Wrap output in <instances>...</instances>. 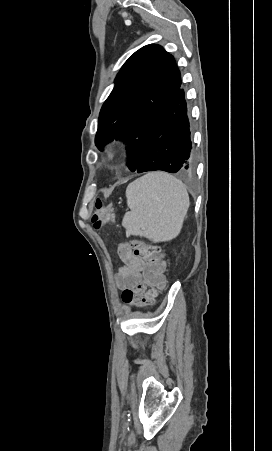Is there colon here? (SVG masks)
Instances as JSON below:
<instances>
[{"label": "colon", "mask_w": 272, "mask_h": 451, "mask_svg": "<svg viewBox=\"0 0 272 451\" xmlns=\"http://www.w3.org/2000/svg\"><path fill=\"white\" fill-rule=\"evenodd\" d=\"M116 214L112 211L111 204H105L101 198L97 200L96 212L92 216V223L95 229H101L104 225V220L115 221ZM132 247L131 258H148L155 257L162 258L163 255L160 248L156 245L147 246L146 243L141 241H135L131 244H124L121 249ZM157 271L155 268L148 274L147 279L139 283L134 288H127L122 292L121 301L128 305L146 306L148 305L153 296L157 292V288L160 286L156 283Z\"/></svg>", "instance_id": "obj_1"}]
</instances>
